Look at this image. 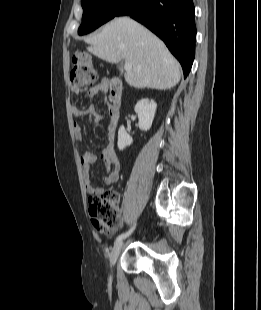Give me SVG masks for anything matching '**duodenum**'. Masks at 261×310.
Here are the masks:
<instances>
[{
    "label": "duodenum",
    "instance_id": "410a0bca",
    "mask_svg": "<svg viewBox=\"0 0 261 310\" xmlns=\"http://www.w3.org/2000/svg\"><path fill=\"white\" fill-rule=\"evenodd\" d=\"M110 88V96L114 102V106L111 108L110 120L113 127H116L118 118H119V110L118 104L121 99L122 94V82L119 78L115 77L109 81Z\"/></svg>",
    "mask_w": 261,
    "mask_h": 310
}]
</instances>
